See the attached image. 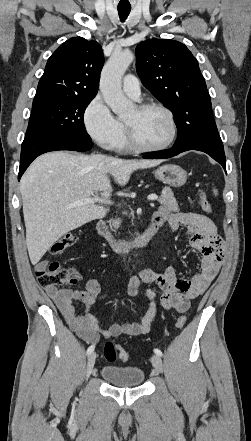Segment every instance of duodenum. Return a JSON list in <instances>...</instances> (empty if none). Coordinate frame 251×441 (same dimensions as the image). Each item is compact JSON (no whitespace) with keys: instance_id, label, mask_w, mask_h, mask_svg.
<instances>
[{"instance_id":"410a0bca","label":"duodenum","mask_w":251,"mask_h":441,"mask_svg":"<svg viewBox=\"0 0 251 441\" xmlns=\"http://www.w3.org/2000/svg\"><path fill=\"white\" fill-rule=\"evenodd\" d=\"M161 223L152 217L147 228L130 241L118 240L109 230L107 224L104 221H99L97 224V231L102 236L111 248L119 253H125L135 247H142L146 245L157 233Z\"/></svg>"}]
</instances>
